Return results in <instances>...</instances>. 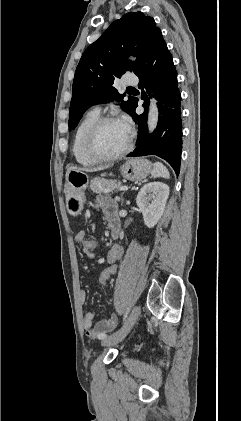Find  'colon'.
Instances as JSON below:
<instances>
[{"label":"colon","instance_id":"colon-1","mask_svg":"<svg viewBox=\"0 0 241 421\" xmlns=\"http://www.w3.org/2000/svg\"><path fill=\"white\" fill-rule=\"evenodd\" d=\"M97 247L96 238H86L82 243V249L84 252H92ZM117 263L110 264L108 267L102 270L99 281L102 285L108 286L111 284L115 274L117 273Z\"/></svg>","mask_w":241,"mask_h":421}]
</instances>
